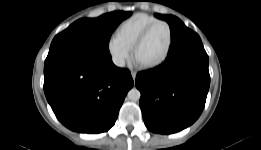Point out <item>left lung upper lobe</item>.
<instances>
[{
    "mask_svg": "<svg viewBox=\"0 0 261 150\" xmlns=\"http://www.w3.org/2000/svg\"><path fill=\"white\" fill-rule=\"evenodd\" d=\"M155 16L159 19L165 20L168 22L171 30L172 40L175 39L181 32L188 29L184 23L177 17L172 15H161L155 14Z\"/></svg>",
    "mask_w": 261,
    "mask_h": 150,
    "instance_id": "left-lung-upper-lobe-1",
    "label": "left lung upper lobe"
}]
</instances>
